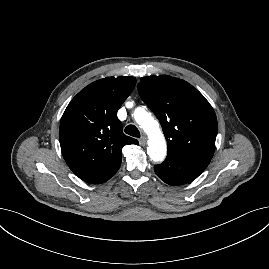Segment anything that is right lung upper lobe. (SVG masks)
Here are the masks:
<instances>
[{
	"instance_id": "cb5924a9",
	"label": "right lung upper lobe",
	"mask_w": 269,
	"mask_h": 269,
	"mask_svg": "<svg viewBox=\"0 0 269 269\" xmlns=\"http://www.w3.org/2000/svg\"><path fill=\"white\" fill-rule=\"evenodd\" d=\"M134 77H107L81 90L60 122L62 155L73 173L85 182L109 180L121 165V150L138 144L123 133L117 111L135 87Z\"/></svg>"
}]
</instances>
